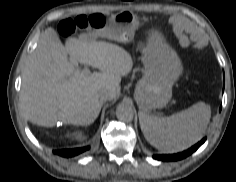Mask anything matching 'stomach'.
<instances>
[{
  "label": "stomach",
  "mask_w": 236,
  "mask_h": 182,
  "mask_svg": "<svg viewBox=\"0 0 236 182\" xmlns=\"http://www.w3.org/2000/svg\"><path fill=\"white\" fill-rule=\"evenodd\" d=\"M139 19L129 11L117 14L114 25L99 33L111 39L128 42L139 27ZM143 77L135 89V99L143 110L165 107L172 97V86L180 77L183 66L176 51L158 32H153L142 53Z\"/></svg>",
  "instance_id": "1"
}]
</instances>
